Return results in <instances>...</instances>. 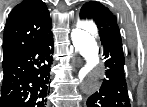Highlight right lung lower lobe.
<instances>
[{"instance_id":"obj_1","label":"right lung lower lobe","mask_w":147,"mask_h":107,"mask_svg":"<svg viewBox=\"0 0 147 107\" xmlns=\"http://www.w3.org/2000/svg\"><path fill=\"white\" fill-rule=\"evenodd\" d=\"M53 49L51 34L2 64L0 107H46Z\"/></svg>"}]
</instances>
